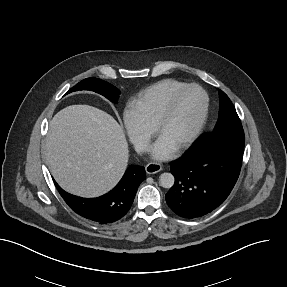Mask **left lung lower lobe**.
<instances>
[{
	"label": "left lung lower lobe",
	"instance_id": "obj_1",
	"mask_svg": "<svg viewBox=\"0 0 287 287\" xmlns=\"http://www.w3.org/2000/svg\"><path fill=\"white\" fill-rule=\"evenodd\" d=\"M245 141H210L204 136L171 163L174 185L166 194L168 206L193 219L217 208L230 194L240 174Z\"/></svg>",
	"mask_w": 287,
	"mask_h": 287
}]
</instances>
